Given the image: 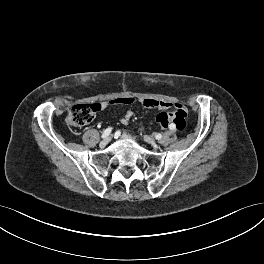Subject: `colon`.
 Wrapping results in <instances>:
<instances>
[{
	"label": "colon",
	"instance_id": "5ec220e1",
	"mask_svg": "<svg viewBox=\"0 0 264 264\" xmlns=\"http://www.w3.org/2000/svg\"><path fill=\"white\" fill-rule=\"evenodd\" d=\"M111 104H129L130 98H117L110 101ZM101 109L100 103L75 104L70 107L67 123L71 127H82L92 121L97 111ZM187 110L178 105L173 112H161L156 117V122L163 128L173 124L176 130L181 131L186 126Z\"/></svg>",
	"mask_w": 264,
	"mask_h": 264
}]
</instances>
